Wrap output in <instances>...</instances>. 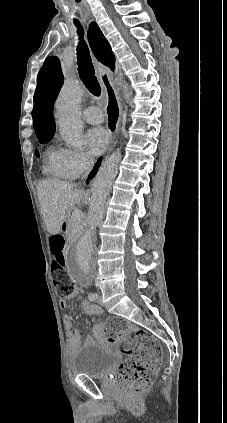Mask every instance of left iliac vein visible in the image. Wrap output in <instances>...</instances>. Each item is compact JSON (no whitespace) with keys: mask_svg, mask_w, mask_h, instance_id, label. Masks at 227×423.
I'll return each mask as SVG.
<instances>
[{"mask_svg":"<svg viewBox=\"0 0 227 423\" xmlns=\"http://www.w3.org/2000/svg\"><path fill=\"white\" fill-rule=\"evenodd\" d=\"M98 303H99V304H101V305H103V299H102V296H99V297H98Z\"/></svg>","mask_w":227,"mask_h":423,"instance_id":"1","label":"left iliac vein"}]
</instances>
